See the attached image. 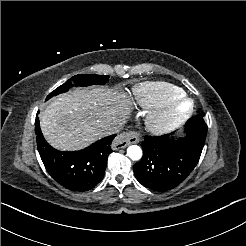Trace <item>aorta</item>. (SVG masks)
Instances as JSON below:
<instances>
[{"instance_id": "aorta-1", "label": "aorta", "mask_w": 246, "mask_h": 246, "mask_svg": "<svg viewBox=\"0 0 246 246\" xmlns=\"http://www.w3.org/2000/svg\"><path fill=\"white\" fill-rule=\"evenodd\" d=\"M127 156L133 160H140L142 157V149L137 145H131L127 149Z\"/></svg>"}]
</instances>
